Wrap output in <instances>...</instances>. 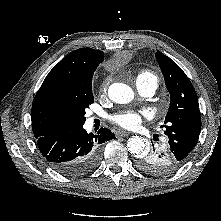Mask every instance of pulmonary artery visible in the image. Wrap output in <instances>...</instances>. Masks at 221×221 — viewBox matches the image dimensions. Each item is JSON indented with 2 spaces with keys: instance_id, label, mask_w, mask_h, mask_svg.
<instances>
[{
  "instance_id": "e3ab8cb5",
  "label": "pulmonary artery",
  "mask_w": 221,
  "mask_h": 221,
  "mask_svg": "<svg viewBox=\"0 0 221 221\" xmlns=\"http://www.w3.org/2000/svg\"><path fill=\"white\" fill-rule=\"evenodd\" d=\"M136 88L140 95L151 97L157 89V83L151 80H139L136 81Z\"/></svg>"
}]
</instances>
